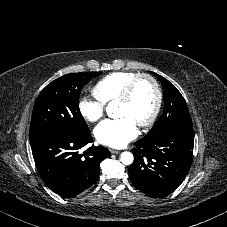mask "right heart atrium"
<instances>
[{
    "mask_svg": "<svg viewBox=\"0 0 227 227\" xmlns=\"http://www.w3.org/2000/svg\"><path fill=\"white\" fill-rule=\"evenodd\" d=\"M78 109L85 120L95 122L103 116L105 104L95 94L84 95L79 100Z\"/></svg>",
    "mask_w": 227,
    "mask_h": 227,
    "instance_id": "right-heart-atrium-1",
    "label": "right heart atrium"
}]
</instances>
